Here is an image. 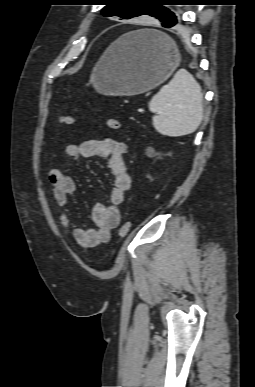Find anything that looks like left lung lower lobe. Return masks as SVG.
Masks as SVG:
<instances>
[{"mask_svg": "<svg viewBox=\"0 0 255 387\" xmlns=\"http://www.w3.org/2000/svg\"><path fill=\"white\" fill-rule=\"evenodd\" d=\"M150 15H151V13H150ZM177 24H178V19L176 17L175 19H172L168 23H164L163 26L166 27V28H171V27H174Z\"/></svg>", "mask_w": 255, "mask_h": 387, "instance_id": "left-lung-lower-lobe-1", "label": "left lung lower lobe"}]
</instances>
